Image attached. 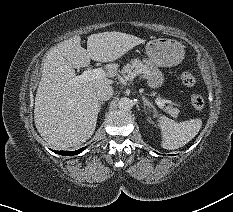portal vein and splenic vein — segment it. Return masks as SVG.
<instances>
[{
	"instance_id": "portal-vein-and-splenic-vein-1",
	"label": "portal vein and splenic vein",
	"mask_w": 233,
	"mask_h": 212,
	"mask_svg": "<svg viewBox=\"0 0 233 212\" xmlns=\"http://www.w3.org/2000/svg\"><path fill=\"white\" fill-rule=\"evenodd\" d=\"M105 76V71L101 68H96L92 70H86L81 75H78L69 80V84H78L82 82L91 81L96 78H101ZM155 103L160 107L163 108L164 102L160 99H155Z\"/></svg>"
}]
</instances>
